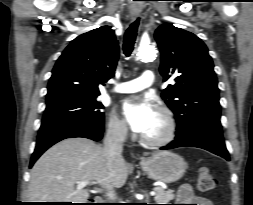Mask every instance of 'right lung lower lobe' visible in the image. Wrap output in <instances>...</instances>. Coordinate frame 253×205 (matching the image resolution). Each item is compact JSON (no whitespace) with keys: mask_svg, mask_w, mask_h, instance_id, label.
Here are the masks:
<instances>
[{"mask_svg":"<svg viewBox=\"0 0 253 205\" xmlns=\"http://www.w3.org/2000/svg\"><path fill=\"white\" fill-rule=\"evenodd\" d=\"M103 132L104 122L98 123L64 118L42 120L30 167L33 166L44 151L60 140L84 137L99 141Z\"/></svg>","mask_w":253,"mask_h":205,"instance_id":"1","label":"right lung lower lobe"}]
</instances>
